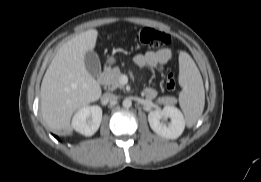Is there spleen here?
Masks as SVG:
<instances>
[{
    "mask_svg": "<svg viewBox=\"0 0 261 182\" xmlns=\"http://www.w3.org/2000/svg\"><path fill=\"white\" fill-rule=\"evenodd\" d=\"M179 104L184 112L188 127L196 124L205 104L203 80L194 60L186 52L179 54Z\"/></svg>",
    "mask_w": 261,
    "mask_h": 182,
    "instance_id": "1",
    "label": "spleen"
}]
</instances>
